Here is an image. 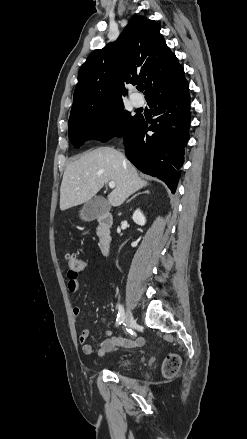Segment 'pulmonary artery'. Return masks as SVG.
<instances>
[{
  "instance_id": "pulmonary-artery-1",
  "label": "pulmonary artery",
  "mask_w": 247,
  "mask_h": 439,
  "mask_svg": "<svg viewBox=\"0 0 247 439\" xmlns=\"http://www.w3.org/2000/svg\"><path fill=\"white\" fill-rule=\"evenodd\" d=\"M132 102L135 106H140L142 104V100L138 97H132Z\"/></svg>"
}]
</instances>
